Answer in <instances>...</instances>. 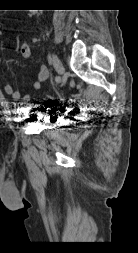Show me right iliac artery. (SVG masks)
I'll return each instance as SVG.
<instances>
[{"label": "right iliac artery", "instance_id": "right-iliac-artery-1", "mask_svg": "<svg viewBox=\"0 0 138 253\" xmlns=\"http://www.w3.org/2000/svg\"><path fill=\"white\" fill-rule=\"evenodd\" d=\"M56 81H57V82L59 81V77H56Z\"/></svg>", "mask_w": 138, "mask_h": 253}]
</instances>
